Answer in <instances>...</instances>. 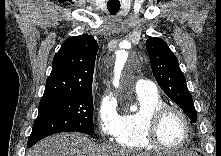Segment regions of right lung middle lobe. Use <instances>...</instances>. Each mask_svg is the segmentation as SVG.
<instances>
[{"instance_id":"obj_1","label":"right lung middle lobe","mask_w":221,"mask_h":156,"mask_svg":"<svg viewBox=\"0 0 221 156\" xmlns=\"http://www.w3.org/2000/svg\"><path fill=\"white\" fill-rule=\"evenodd\" d=\"M92 90L69 96L42 98L27 146L60 132L94 133Z\"/></svg>"}]
</instances>
